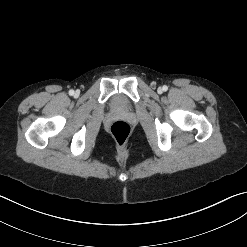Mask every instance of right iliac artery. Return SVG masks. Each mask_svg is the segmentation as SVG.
I'll return each mask as SVG.
<instances>
[{"label": "right iliac artery", "mask_w": 247, "mask_h": 247, "mask_svg": "<svg viewBox=\"0 0 247 247\" xmlns=\"http://www.w3.org/2000/svg\"><path fill=\"white\" fill-rule=\"evenodd\" d=\"M73 94H74V90H70V91H69V95L72 96Z\"/></svg>", "instance_id": "82829eb1"}]
</instances>
